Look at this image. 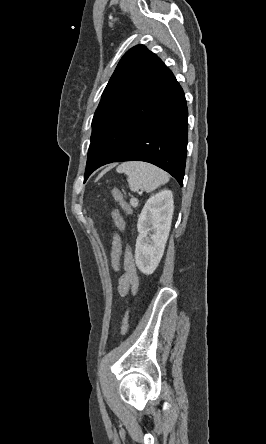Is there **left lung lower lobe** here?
I'll use <instances>...</instances> for the list:
<instances>
[{"mask_svg": "<svg viewBox=\"0 0 266 444\" xmlns=\"http://www.w3.org/2000/svg\"><path fill=\"white\" fill-rule=\"evenodd\" d=\"M187 118L184 92L171 73L96 132L89 147L84 181L100 166L136 160L162 168L182 186Z\"/></svg>", "mask_w": 266, "mask_h": 444, "instance_id": "left-lung-lower-lobe-1", "label": "left lung lower lobe"}]
</instances>
